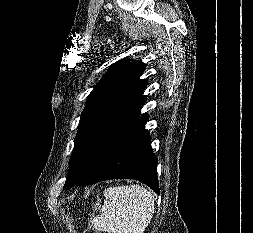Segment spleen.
I'll return each mask as SVG.
<instances>
[{
    "mask_svg": "<svg viewBox=\"0 0 253 233\" xmlns=\"http://www.w3.org/2000/svg\"><path fill=\"white\" fill-rule=\"evenodd\" d=\"M99 216L91 224L107 233H143L152 220L154 196L143 186L109 187Z\"/></svg>",
    "mask_w": 253,
    "mask_h": 233,
    "instance_id": "obj_1",
    "label": "spleen"
}]
</instances>
